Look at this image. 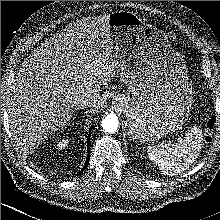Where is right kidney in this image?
Masks as SVG:
<instances>
[{"label":"right kidney","mask_w":220,"mask_h":220,"mask_svg":"<svg viewBox=\"0 0 220 220\" xmlns=\"http://www.w3.org/2000/svg\"><path fill=\"white\" fill-rule=\"evenodd\" d=\"M68 142H69L68 139H63V140L59 141L57 144V148L64 149L68 145Z\"/></svg>","instance_id":"1"}]
</instances>
